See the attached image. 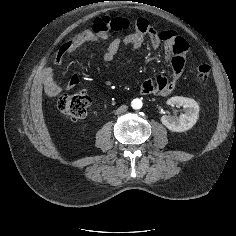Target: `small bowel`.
<instances>
[{
	"instance_id": "small-bowel-1",
	"label": "small bowel",
	"mask_w": 236,
	"mask_h": 236,
	"mask_svg": "<svg viewBox=\"0 0 236 236\" xmlns=\"http://www.w3.org/2000/svg\"><path fill=\"white\" fill-rule=\"evenodd\" d=\"M103 21L102 26H93L92 29L83 30L72 40L63 43L54 57V65L60 66L66 55L87 42H106L109 39V31H111L109 29L111 19L103 18ZM146 40H149L154 49L164 47V57L167 61H170L172 75L169 78L160 75L155 80H145L140 86V92L143 95H169L173 92L176 83L183 74L186 56L189 51V44L186 39L179 36L175 31H157L148 20L138 19L133 32L124 37L115 38L108 43L103 52L104 68H109L110 62L115 58L122 45H129L134 50H139ZM41 79L46 93L50 96H58L63 90L74 88L79 83L78 76L73 75L64 86L58 84L55 81L52 66L43 69Z\"/></svg>"
}]
</instances>
